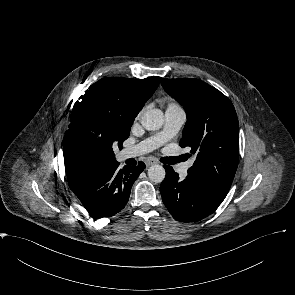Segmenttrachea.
I'll return each mask as SVG.
<instances>
[{
	"label": "trachea",
	"mask_w": 295,
	"mask_h": 295,
	"mask_svg": "<svg viewBox=\"0 0 295 295\" xmlns=\"http://www.w3.org/2000/svg\"><path fill=\"white\" fill-rule=\"evenodd\" d=\"M180 161H182L181 157H165L162 159V162L166 164H175Z\"/></svg>",
	"instance_id": "1"
}]
</instances>
